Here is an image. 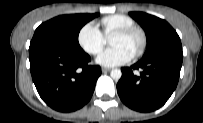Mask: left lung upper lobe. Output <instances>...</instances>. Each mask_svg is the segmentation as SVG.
Listing matches in <instances>:
<instances>
[{
  "instance_id": "1",
  "label": "left lung upper lobe",
  "mask_w": 203,
  "mask_h": 123,
  "mask_svg": "<svg viewBox=\"0 0 203 123\" xmlns=\"http://www.w3.org/2000/svg\"><path fill=\"white\" fill-rule=\"evenodd\" d=\"M129 14L146 32L148 47L143 57L171 48H182L178 34L165 20L143 12Z\"/></svg>"
}]
</instances>
